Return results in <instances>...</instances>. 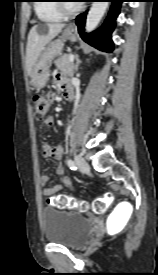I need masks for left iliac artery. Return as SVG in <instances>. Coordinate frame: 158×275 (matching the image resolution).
I'll return each instance as SVG.
<instances>
[{"label":"left iliac artery","mask_w":158,"mask_h":275,"mask_svg":"<svg viewBox=\"0 0 158 275\" xmlns=\"http://www.w3.org/2000/svg\"><path fill=\"white\" fill-rule=\"evenodd\" d=\"M67 165L69 166V168H70L71 170H76V169H77L76 166H75L74 161L71 160V159H68V160H67Z\"/></svg>","instance_id":"left-iliac-artery-1"}]
</instances>
